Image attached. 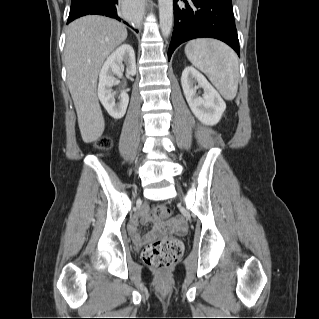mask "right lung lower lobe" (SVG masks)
<instances>
[{
  "mask_svg": "<svg viewBox=\"0 0 319 319\" xmlns=\"http://www.w3.org/2000/svg\"><path fill=\"white\" fill-rule=\"evenodd\" d=\"M90 14L122 20L118 14V0H72L68 23ZM123 22L128 25L125 21Z\"/></svg>",
  "mask_w": 319,
  "mask_h": 319,
  "instance_id": "right-lung-lower-lobe-1",
  "label": "right lung lower lobe"
}]
</instances>
